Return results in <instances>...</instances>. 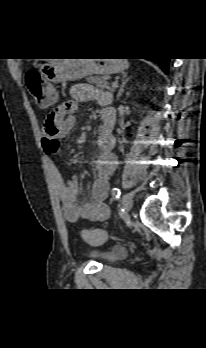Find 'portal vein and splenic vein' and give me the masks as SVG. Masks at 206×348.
Wrapping results in <instances>:
<instances>
[{"mask_svg":"<svg viewBox=\"0 0 206 348\" xmlns=\"http://www.w3.org/2000/svg\"><path fill=\"white\" fill-rule=\"evenodd\" d=\"M112 87H114V88L118 87V83L117 82H113L112 83Z\"/></svg>","mask_w":206,"mask_h":348,"instance_id":"obj_1","label":"portal vein and splenic vein"}]
</instances>
